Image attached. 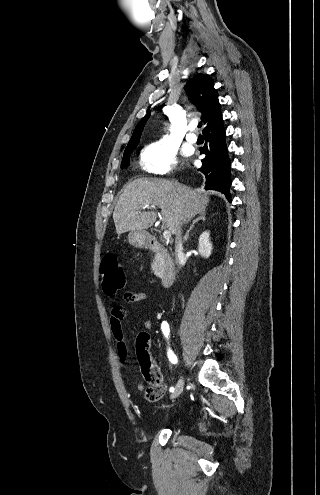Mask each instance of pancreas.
<instances>
[{"label":"pancreas","mask_w":320,"mask_h":495,"mask_svg":"<svg viewBox=\"0 0 320 495\" xmlns=\"http://www.w3.org/2000/svg\"><path fill=\"white\" fill-rule=\"evenodd\" d=\"M152 272L159 276L160 273L165 269V259L163 253H157L153 259L151 265Z\"/></svg>","instance_id":"1"}]
</instances>
